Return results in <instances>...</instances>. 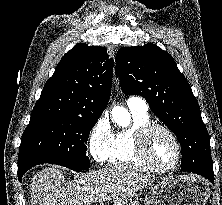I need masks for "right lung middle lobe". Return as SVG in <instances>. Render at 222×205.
I'll return each mask as SVG.
<instances>
[{
	"label": "right lung middle lobe",
	"mask_w": 222,
	"mask_h": 205,
	"mask_svg": "<svg viewBox=\"0 0 222 205\" xmlns=\"http://www.w3.org/2000/svg\"><path fill=\"white\" fill-rule=\"evenodd\" d=\"M98 118L76 114L31 117L21 139L18 164L41 161L74 171L88 169L86 143Z\"/></svg>",
	"instance_id": "obj_1"
}]
</instances>
